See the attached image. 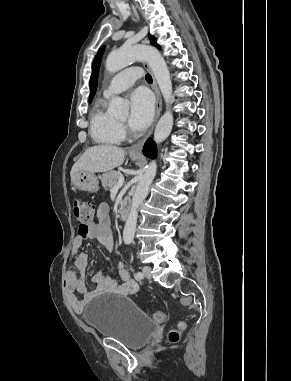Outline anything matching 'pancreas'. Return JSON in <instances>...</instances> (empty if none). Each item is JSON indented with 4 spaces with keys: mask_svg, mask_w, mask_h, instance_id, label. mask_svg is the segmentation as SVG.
Wrapping results in <instances>:
<instances>
[{
    "mask_svg": "<svg viewBox=\"0 0 291 381\" xmlns=\"http://www.w3.org/2000/svg\"><path fill=\"white\" fill-rule=\"evenodd\" d=\"M120 173L118 171H110L105 174H103L100 177L102 186L105 190H112L114 185L117 183V180L119 178Z\"/></svg>",
    "mask_w": 291,
    "mask_h": 381,
    "instance_id": "obj_1",
    "label": "pancreas"
}]
</instances>
